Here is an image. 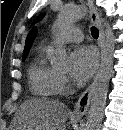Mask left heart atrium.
Segmentation results:
<instances>
[{
	"instance_id": "left-heart-atrium-1",
	"label": "left heart atrium",
	"mask_w": 123,
	"mask_h": 130,
	"mask_svg": "<svg viewBox=\"0 0 123 130\" xmlns=\"http://www.w3.org/2000/svg\"><path fill=\"white\" fill-rule=\"evenodd\" d=\"M97 67V54L90 47H78L70 57V76L76 83L86 82Z\"/></svg>"
}]
</instances>
